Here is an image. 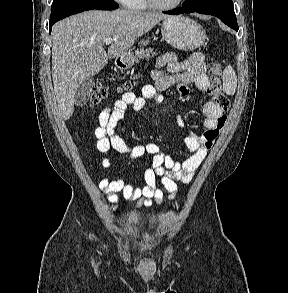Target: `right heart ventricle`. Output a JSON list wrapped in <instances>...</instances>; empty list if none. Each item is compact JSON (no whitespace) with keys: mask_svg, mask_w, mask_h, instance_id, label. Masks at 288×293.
Wrapping results in <instances>:
<instances>
[{"mask_svg":"<svg viewBox=\"0 0 288 293\" xmlns=\"http://www.w3.org/2000/svg\"><path fill=\"white\" fill-rule=\"evenodd\" d=\"M125 5L132 10H145L149 6L146 0H128Z\"/></svg>","mask_w":288,"mask_h":293,"instance_id":"obj_1","label":"right heart ventricle"}]
</instances>
